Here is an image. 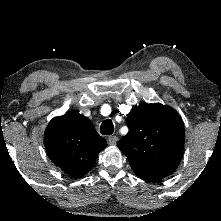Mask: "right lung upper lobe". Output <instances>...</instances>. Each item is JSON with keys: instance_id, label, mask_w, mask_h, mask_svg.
<instances>
[{"instance_id": "cb5924a9", "label": "right lung upper lobe", "mask_w": 221, "mask_h": 221, "mask_svg": "<svg viewBox=\"0 0 221 221\" xmlns=\"http://www.w3.org/2000/svg\"><path fill=\"white\" fill-rule=\"evenodd\" d=\"M44 143L52 162L74 178L90 171L107 146L91 121L76 111L53 118L46 127Z\"/></svg>"}]
</instances>
